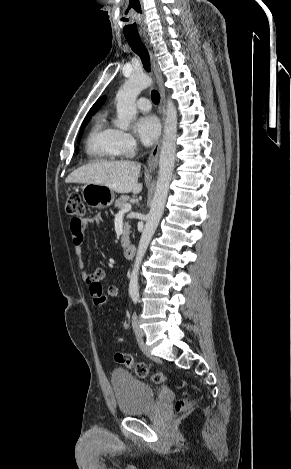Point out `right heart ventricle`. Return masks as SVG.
Returning <instances> with one entry per match:
<instances>
[{
	"label": "right heart ventricle",
	"instance_id": "right-heart-ventricle-1",
	"mask_svg": "<svg viewBox=\"0 0 291 469\" xmlns=\"http://www.w3.org/2000/svg\"><path fill=\"white\" fill-rule=\"evenodd\" d=\"M116 129L110 125L107 112L96 115L89 129L85 151L93 160H114L121 153L116 143Z\"/></svg>",
	"mask_w": 291,
	"mask_h": 469
}]
</instances>
